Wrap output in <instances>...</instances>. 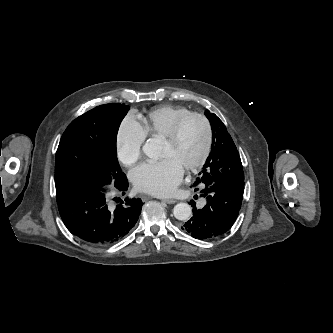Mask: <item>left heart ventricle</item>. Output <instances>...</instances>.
<instances>
[{
	"label": "left heart ventricle",
	"mask_w": 333,
	"mask_h": 333,
	"mask_svg": "<svg viewBox=\"0 0 333 333\" xmlns=\"http://www.w3.org/2000/svg\"><path fill=\"white\" fill-rule=\"evenodd\" d=\"M205 127L198 119L187 121L174 144L164 142L163 158H173L182 168L196 162L205 145Z\"/></svg>",
	"instance_id": "obj_1"
}]
</instances>
